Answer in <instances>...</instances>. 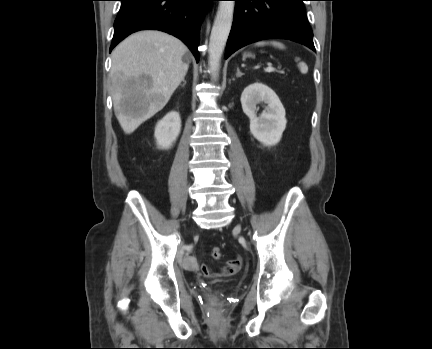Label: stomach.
Segmentation results:
<instances>
[{"label": "stomach", "instance_id": "1", "mask_svg": "<svg viewBox=\"0 0 432 349\" xmlns=\"http://www.w3.org/2000/svg\"><path fill=\"white\" fill-rule=\"evenodd\" d=\"M244 56H251V54H249V53L248 54H244Z\"/></svg>", "mask_w": 432, "mask_h": 349}]
</instances>
